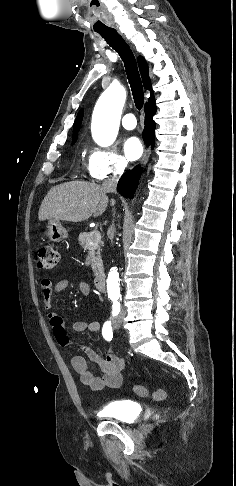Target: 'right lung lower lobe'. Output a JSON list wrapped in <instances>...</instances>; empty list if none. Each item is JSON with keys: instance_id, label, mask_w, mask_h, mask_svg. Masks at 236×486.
<instances>
[{"instance_id": "obj_1", "label": "right lung lower lobe", "mask_w": 236, "mask_h": 486, "mask_svg": "<svg viewBox=\"0 0 236 486\" xmlns=\"http://www.w3.org/2000/svg\"><path fill=\"white\" fill-rule=\"evenodd\" d=\"M156 113L155 100H149L145 105V128L143 131V139L147 146L151 144L154 146V131L156 124L153 120V116ZM142 169L135 167L132 170L125 172L118 182V191L126 198H133V193L138 186Z\"/></svg>"}]
</instances>
